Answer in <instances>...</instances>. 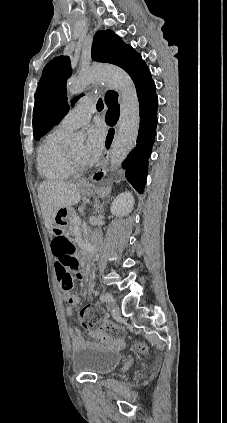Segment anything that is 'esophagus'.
<instances>
[{
  "instance_id": "obj_1",
  "label": "esophagus",
  "mask_w": 227,
  "mask_h": 423,
  "mask_svg": "<svg viewBox=\"0 0 227 423\" xmlns=\"http://www.w3.org/2000/svg\"><path fill=\"white\" fill-rule=\"evenodd\" d=\"M116 125L115 124H110L109 125V130L107 131V137L105 139L104 142V147H105V151H104V156L101 162L100 167L98 168V170L88 179V181L90 182H101L103 181V179L105 178V176L107 175V166H108V161H109V154L114 142V136L116 135Z\"/></svg>"
}]
</instances>
